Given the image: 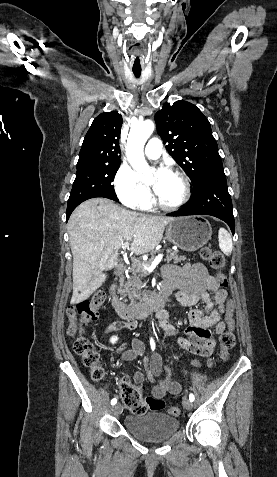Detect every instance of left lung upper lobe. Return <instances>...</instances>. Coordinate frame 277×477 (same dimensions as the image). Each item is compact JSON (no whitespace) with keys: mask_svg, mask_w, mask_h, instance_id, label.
Returning a JSON list of instances; mask_svg holds the SVG:
<instances>
[{"mask_svg":"<svg viewBox=\"0 0 277 477\" xmlns=\"http://www.w3.org/2000/svg\"><path fill=\"white\" fill-rule=\"evenodd\" d=\"M157 130L173 159L190 177L193 186L202 174L222 166L208 119L186 101L166 103L155 114Z\"/></svg>","mask_w":277,"mask_h":477,"instance_id":"1","label":"left lung upper lobe"}]
</instances>
